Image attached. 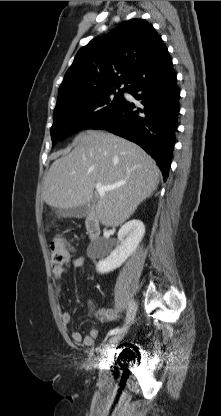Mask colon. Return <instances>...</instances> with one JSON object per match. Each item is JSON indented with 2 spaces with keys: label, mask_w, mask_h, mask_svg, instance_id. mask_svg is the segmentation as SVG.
Wrapping results in <instances>:
<instances>
[{
  "label": "colon",
  "mask_w": 221,
  "mask_h": 416,
  "mask_svg": "<svg viewBox=\"0 0 221 416\" xmlns=\"http://www.w3.org/2000/svg\"><path fill=\"white\" fill-rule=\"evenodd\" d=\"M51 261L54 265L66 263L71 256V248L62 237H56L50 243Z\"/></svg>",
  "instance_id": "colon-1"
}]
</instances>
